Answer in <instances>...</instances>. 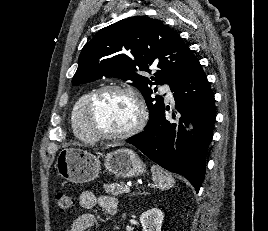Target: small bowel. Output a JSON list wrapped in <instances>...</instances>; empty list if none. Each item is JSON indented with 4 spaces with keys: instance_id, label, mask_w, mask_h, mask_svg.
<instances>
[{
    "instance_id": "obj_1",
    "label": "small bowel",
    "mask_w": 268,
    "mask_h": 231,
    "mask_svg": "<svg viewBox=\"0 0 268 231\" xmlns=\"http://www.w3.org/2000/svg\"><path fill=\"white\" fill-rule=\"evenodd\" d=\"M78 203L82 208L92 209L99 206L108 215L116 214L117 199L109 195L96 196L92 192L84 191L79 195ZM95 223L93 214H83L77 217L65 231H89Z\"/></svg>"
}]
</instances>
